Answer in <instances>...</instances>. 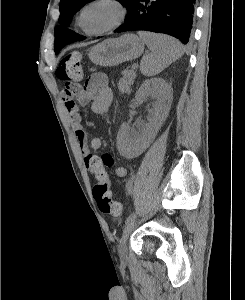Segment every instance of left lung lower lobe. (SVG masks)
<instances>
[{"label": "left lung lower lobe", "instance_id": "left-lung-lower-lobe-1", "mask_svg": "<svg viewBox=\"0 0 245 300\" xmlns=\"http://www.w3.org/2000/svg\"><path fill=\"white\" fill-rule=\"evenodd\" d=\"M194 3L195 0H134L130 16L114 32L165 33L187 44L191 37Z\"/></svg>", "mask_w": 245, "mask_h": 300}]
</instances>
